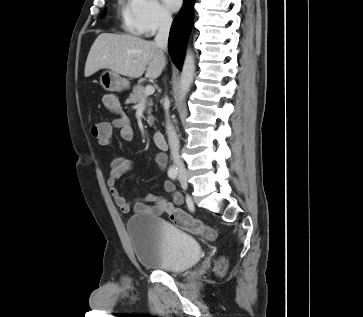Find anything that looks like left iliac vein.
I'll return each instance as SVG.
<instances>
[{
    "label": "left iliac vein",
    "instance_id": "4c4485c4",
    "mask_svg": "<svg viewBox=\"0 0 363 317\" xmlns=\"http://www.w3.org/2000/svg\"><path fill=\"white\" fill-rule=\"evenodd\" d=\"M180 184L183 189H187L188 183L185 176H180Z\"/></svg>",
    "mask_w": 363,
    "mask_h": 317
}]
</instances>
